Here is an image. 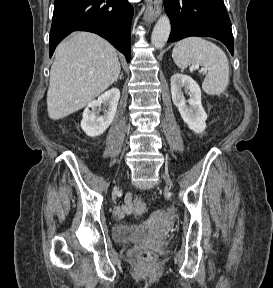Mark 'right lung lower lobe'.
I'll use <instances>...</instances> for the list:
<instances>
[{
	"label": "right lung lower lobe",
	"mask_w": 273,
	"mask_h": 288,
	"mask_svg": "<svg viewBox=\"0 0 273 288\" xmlns=\"http://www.w3.org/2000/svg\"><path fill=\"white\" fill-rule=\"evenodd\" d=\"M133 7L127 0H55L50 31V57L73 31H89L108 40L130 61Z\"/></svg>",
	"instance_id": "98d812e1"
}]
</instances>
